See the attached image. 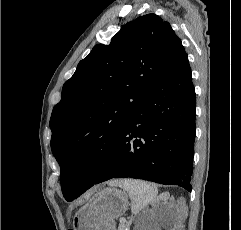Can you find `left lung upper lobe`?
I'll return each instance as SVG.
<instances>
[{
	"mask_svg": "<svg viewBox=\"0 0 241 230\" xmlns=\"http://www.w3.org/2000/svg\"><path fill=\"white\" fill-rule=\"evenodd\" d=\"M184 53L170 24L148 14L124 25L109 45L94 46L79 62L50 119L51 149L67 201L78 197L76 162L97 143L117 139L138 104Z\"/></svg>",
	"mask_w": 241,
	"mask_h": 230,
	"instance_id": "1",
	"label": "left lung upper lobe"
}]
</instances>
